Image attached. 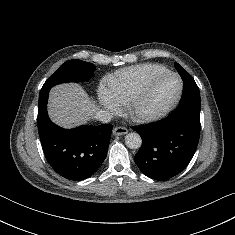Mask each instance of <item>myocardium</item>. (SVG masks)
<instances>
[{
  "label": "myocardium",
  "mask_w": 235,
  "mask_h": 235,
  "mask_svg": "<svg viewBox=\"0 0 235 235\" xmlns=\"http://www.w3.org/2000/svg\"><path fill=\"white\" fill-rule=\"evenodd\" d=\"M165 77H174L179 82V90L175 96V98L165 107L162 109L155 111V112H145L142 110L143 103L145 99L147 98L152 85L159 79L165 78ZM184 90V83L182 78L174 72L171 71H165L158 74H155L151 76L144 84L142 89L139 91V93L132 99V101L128 104V112L131 115V117L138 121V122H152L155 120H158L165 115H167L169 112H171L176 105L179 103L182 94Z\"/></svg>",
  "instance_id": "myocardium-1"
}]
</instances>
